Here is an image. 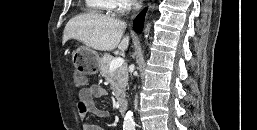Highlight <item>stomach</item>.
I'll list each match as a JSON object with an SVG mask.
<instances>
[{
  "instance_id": "0dacf381",
  "label": "stomach",
  "mask_w": 257,
  "mask_h": 130,
  "mask_svg": "<svg viewBox=\"0 0 257 130\" xmlns=\"http://www.w3.org/2000/svg\"><path fill=\"white\" fill-rule=\"evenodd\" d=\"M73 58L86 74H96L99 70V55L91 48L81 46L73 53Z\"/></svg>"
}]
</instances>
